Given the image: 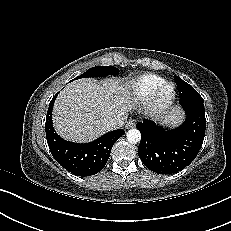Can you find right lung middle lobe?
Returning <instances> with one entry per match:
<instances>
[{
	"mask_svg": "<svg viewBox=\"0 0 231 231\" xmlns=\"http://www.w3.org/2000/svg\"><path fill=\"white\" fill-rule=\"evenodd\" d=\"M119 70L114 66H97L88 69L85 73L81 74L75 79L85 78V77H105L107 75H117Z\"/></svg>",
	"mask_w": 231,
	"mask_h": 231,
	"instance_id": "dd1d6c3e",
	"label": "right lung middle lobe"
}]
</instances>
